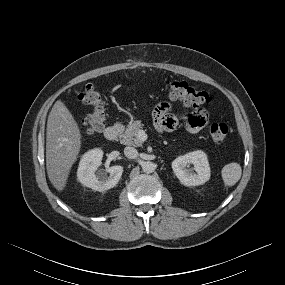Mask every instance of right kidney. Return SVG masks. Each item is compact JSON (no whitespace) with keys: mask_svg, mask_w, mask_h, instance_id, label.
<instances>
[{"mask_svg":"<svg viewBox=\"0 0 285 285\" xmlns=\"http://www.w3.org/2000/svg\"><path fill=\"white\" fill-rule=\"evenodd\" d=\"M102 157L101 149L89 150L82 156L77 171V178L82 185L100 192L116 186L123 173V167L118 165L106 168L105 171L96 172L101 165Z\"/></svg>","mask_w":285,"mask_h":285,"instance_id":"right-kidney-1","label":"right kidney"}]
</instances>
